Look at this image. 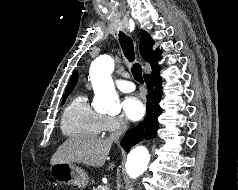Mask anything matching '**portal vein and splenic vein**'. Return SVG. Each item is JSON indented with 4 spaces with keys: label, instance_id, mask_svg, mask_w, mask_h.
Wrapping results in <instances>:
<instances>
[{
    "label": "portal vein and splenic vein",
    "instance_id": "1",
    "mask_svg": "<svg viewBox=\"0 0 238 190\" xmlns=\"http://www.w3.org/2000/svg\"><path fill=\"white\" fill-rule=\"evenodd\" d=\"M106 187V189L105 190H107L108 189V187L107 186H105Z\"/></svg>",
    "mask_w": 238,
    "mask_h": 190
}]
</instances>
